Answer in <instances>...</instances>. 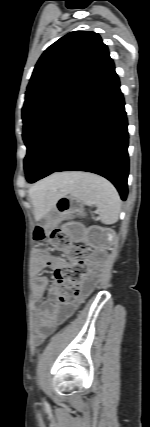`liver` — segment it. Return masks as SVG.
<instances>
[{"label": "liver", "mask_w": 150, "mask_h": 427, "mask_svg": "<svg viewBox=\"0 0 150 427\" xmlns=\"http://www.w3.org/2000/svg\"><path fill=\"white\" fill-rule=\"evenodd\" d=\"M70 174H54L35 184L29 190L34 205L35 218H40L54 203L58 195L65 193Z\"/></svg>", "instance_id": "obj_1"}]
</instances>
